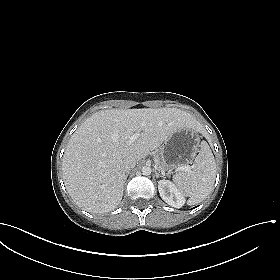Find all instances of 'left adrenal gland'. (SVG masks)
Returning a JSON list of instances; mask_svg holds the SVG:
<instances>
[{
  "label": "left adrenal gland",
  "instance_id": "1",
  "mask_svg": "<svg viewBox=\"0 0 280 280\" xmlns=\"http://www.w3.org/2000/svg\"><path fill=\"white\" fill-rule=\"evenodd\" d=\"M154 172H155L156 178H159V177L165 178V176H161L157 170H155Z\"/></svg>",
  "mask_w": 280,
  "mask_h": 280
}]
</instances>
